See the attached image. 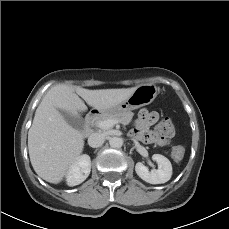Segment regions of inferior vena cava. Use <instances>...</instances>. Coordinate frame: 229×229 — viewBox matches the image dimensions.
I'll return each mask as SVG.
<instances>
[{"mask_svg":"<svg viewBox=\"0 0 229 229\" xmlns=\"http://www.w3.org/2000/svg\"><path fill=\"white\" fill-rule=\"evenodd\" d=\"M105 137L102 133H92L88 138L89 146L97 148L103 145Z\"/></svg>","mask_w":229,"mask_h":229,"instance_id":"1","label":"inferior vena cava"}]
</instances>
